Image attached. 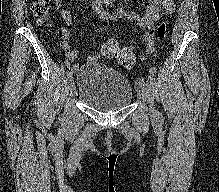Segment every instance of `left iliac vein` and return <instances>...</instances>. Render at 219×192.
<instances>
[{"label": "left iliac vein", "mask_w": 219, "mask_h": 192, "mask_svg": "<svg viewBox=\"0 0 219 192\" xmlns=\"http://www.w3.org/2000/svg\"><path fill=\"white\" fill-rule=\"evenodd\" d=\"M136 87H137L138 96L150 104V111L152 114H154L155 113L154 100L152 96V90L149 84L145 83L143 80H139L137 82Z\"/></svg>", "instance_id": "4c4485c4"}]
</instances>
